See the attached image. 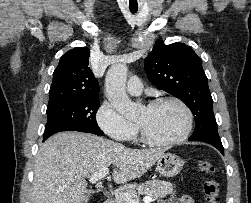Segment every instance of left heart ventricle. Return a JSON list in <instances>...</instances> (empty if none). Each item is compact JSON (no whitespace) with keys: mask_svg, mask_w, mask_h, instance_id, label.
<instances>
[{"mask_svg":"<svg viewBox=\"0 0 251 203\" xmlns=\"http://www.w3.org/2000/svg\"><path fill=\"white\" fill-rule=\"evenodd\" d=\"M137 123L144 126L148 134L159 140L178 137L186 125L184 111L175 103H164L153 108H144Z\"/></svg>","mask_w":251,"mask_h":203,"instance_id":"obj_1","label":"left heart ventricle"}]
</instances>
